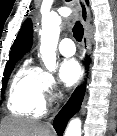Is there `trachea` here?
<instances>
[{
  "instance_id": "trachea-1",
  "label": "trachea",
  "mask_w": 117,
  "mask_h": 136,
  "mask_svg": "<svg viewBox=\"0 0 117 136\" xmlns=\"http://www.w3.org/2000/svg\"><path fill=\"white\" fill-rule=\"evenodd\" d=\"M70 0H67L69 2ZM73 31V36L78 42H81L84 34L83 26L80 23V21H77L72 29Z\"/></svg>"
}]
</instances>
